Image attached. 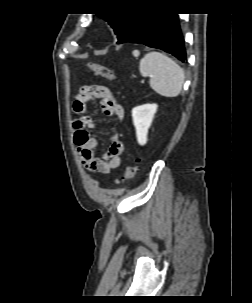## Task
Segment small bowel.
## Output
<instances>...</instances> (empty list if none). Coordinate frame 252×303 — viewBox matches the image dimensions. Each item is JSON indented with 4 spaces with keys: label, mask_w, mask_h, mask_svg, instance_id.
I'll return each instance as SVG.
<instances>
[{
    "label": "small bowel",
    "mask_w": 252,
    "mask_h": 303,
    "mask_svg": "<svg viewBox=\"0 0 252 303\" xmlns=\"http://www.w3.org/2000/svg\"><path fill=\"white\" fill-rule=\"evenodd\" d=\"M99 99L103 112L107 116L114 117L117 122L124 118L123 106L117 102L113 92L101 85H84L76 96L74 102L75 111L85 114L92 101ZM95 121L90 117L77 120L74 123V143L85 168L94 174H108L121 164V154L124 151V143L115 131L110 140V146L102 158L95 157L97 146L96 139L90 135L89 129L95 127Z\"/></svg>",
    "instance_id": "obj_1"
}]
</instances>
